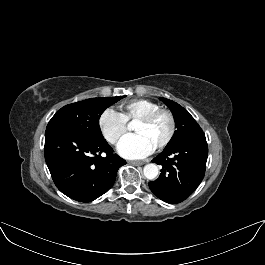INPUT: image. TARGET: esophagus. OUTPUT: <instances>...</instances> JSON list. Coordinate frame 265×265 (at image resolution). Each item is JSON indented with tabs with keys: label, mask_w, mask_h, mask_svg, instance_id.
I'll return each instance as SVG.
<instances>
[{
	"label": "esophagus",
	"mask_w": 265,
	"mask_h": 265,
	"mask_svg": "<svg viewBox=\"0 0 265 265\" xmlns=\"http://www.w3.org/2000/svg\"><path fill=\"white\" fill-rule=\"evenodd\" d=\"M129 164L137 166V165H143L144 162L143 161H130Z\"/></svg>",
	"instance_id": "1"
}]
</instances>
